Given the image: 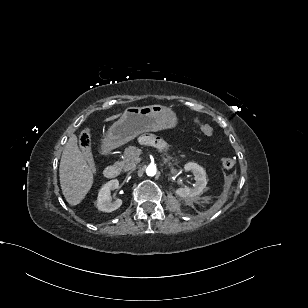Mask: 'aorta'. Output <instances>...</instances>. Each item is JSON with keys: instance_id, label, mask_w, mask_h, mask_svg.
I'll return each instance as SVG.
<instances>
[{"instance_id": "obj_1", "label": "aorta", "mask_w": 308, "mask_h": 308, "mask_svg": "<svg viewBox=\"0 0 308 308\" xmlns=\"http://www.w3.org/2000/svg\"><path fill=\"white\" fill-rule=\"evenodd\" d=\"M156 166L154 164H150L147 168H146V174L148 176H154L156 174Z\"/></svg>"}]
</instances>
